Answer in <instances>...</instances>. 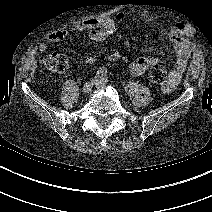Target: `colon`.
Returning a JSON list of instances; mask_svg holds the SVG:
<instances>
[{
  "mask_svg": "<svg viewBox=\"0 0 212 212\" xmlns=\"http://www.w3.org/2000/svg\"><path fill=\"white\" fill-rule=\"evenodd\" d=\"M41 63L48 70L57 73H64L71 67L69 58L64 54L57 52L43 56L41 58ZM148 77L150 81L154 83L163 84L167 79L166 70L162 65L157 64L151 68Z\"/></svg>",
  "mask_w": 212,
  "mask_h": 212,
  "instance_id": "1",
  "label": "colon"
}]
</instances>
